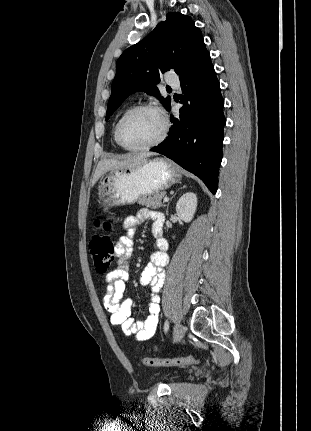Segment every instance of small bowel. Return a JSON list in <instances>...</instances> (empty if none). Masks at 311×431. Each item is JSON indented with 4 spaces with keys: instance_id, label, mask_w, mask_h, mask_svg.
Returning <instances> with one entry per match:
<instances>
[{
    "instance_id": "obj_1",
    "label": "small bowel",
    "mask_w": 311,
    "mask_h": 431,
    "mask_svg": "<svg viewBox=\"0 0 311 431\" xmlns=\"http://www.w3.org/2000/svg\"><path fill=\"white\" fill-rule=\"evenodd\" d=\"M147 220L152 221L151 231L156 238V250L150 254L149 262L140 277L141 284L150 286L149 314L141 321H134L131 316L134 304L130 299H123V294L129 279L128 262L132 253L133 236L137 226ZM164 221L161 212L149 209H142L136 215L127 217L122 225L125 234L115 245L118 266L106 276L103 304L111 315L110 321L119 326L126 336H134L138 341L150 339L155 334L159 321V291L165 279L163 268L169 261L168 241L162 235Z\"/></svg>"
}]
</instances>
